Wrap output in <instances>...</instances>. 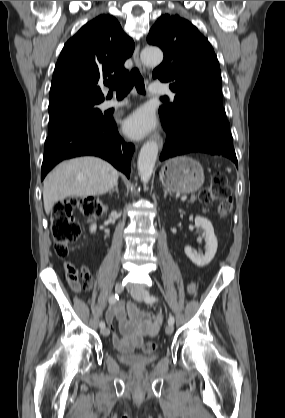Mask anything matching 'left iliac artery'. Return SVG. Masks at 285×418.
Wrapping results in <instances>:
<instances>
[{
	"instance_id": "44dca946",
	"label": "left iliac artery",
	"mask_w": 285,
	"mask_h": 418,
	"mask_svg": "<svg viewBox=\"0 0 285 418\" xmlns=\"http://www.w3.org/2000/svg\"><path fill=\"white\" fill-rule=\"evenodd\" d=\"M158 301V298L155 296H148L145 298V302L148 304H153ZM168 324H174V317L171 315L168 319Z\"/></svg>"
}]
</instances>
